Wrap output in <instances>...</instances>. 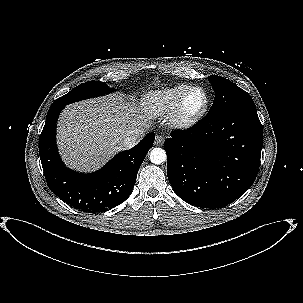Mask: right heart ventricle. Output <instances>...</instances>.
<instances>
[{
	"instance_id": "right-heart-ventricle-1",
	"label": "right heart ventricle",
	"mask_w": 303,
	"mask_h": 303,
	"mask_svg": "<svg viewBox=\"0 0 303 303\" xmlns=\"http://www.w3.org/2000/svg\"><path fill=\"white\" fill-rule=\"evenodd\" d=\"M190 87L187 84H177L147 92L141 101L143 113L150 118H157L172 112Z\"/></svg>"
}]
</instances>
